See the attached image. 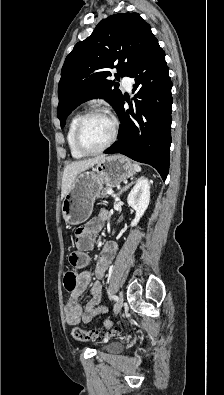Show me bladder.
I'll list each match as a JSON object with an SVG mask.
<instances>
[{
    "label": "bladder",
    "instance_id": "1",
    "mask_svg": "<svg viewBox=\"0 0 224 395\" xmlns=\"http://www.w3.org/2000/svg\"><path fill=\"white\" fill-rule=\"evenodd\" d=\"M123 346L120 343H108L103 346V349L107 352H120Z\"/></svg>",
    "mask_w": 224,
    "mask_h": 395
}]
</instances>
